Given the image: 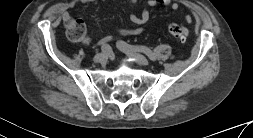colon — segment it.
I'll return each instance as SVG.
<instances>
[{
	"mask_svg": "<svg viewBox=\"0 0 253 138\" xmlns=\"http://www.w3.org/2000/svg\"><path fill=\"white\" fill-rule=\"evenodd\" d=\"M68 36L77 42L87 40V27L83 20L70 18L65 21ZM168 32L180 42H184L188 36L187 29L179 24L171 23L168 26Z\"/></svg>",
	"mask_w": 253,
	"mask_h": 138,
	"instance_id": "1",
	"label": "colon"
}]
</instances>
